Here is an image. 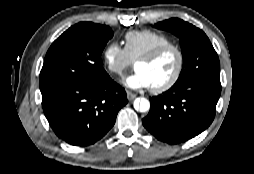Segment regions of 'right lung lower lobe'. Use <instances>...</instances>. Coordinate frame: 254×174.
<instances>
[{
  "label": "right lung lower lobe",
  "mask_w": 254,
  "mask_h": 174,
  "mask_svg": "<svg viewBox=\"0 0 254 174\" xmlns=\"http://www.w3.org/2000/svg\"><path fill=\"white\" fill-rule=\"evenodd\" d=\"M127 102L124 88L109 75L97 82L62 85L42 92V107L51 128L74 146L100 140Z\"/></svg>",
  "instance_id": "98d812e1"
}]
</instances>
